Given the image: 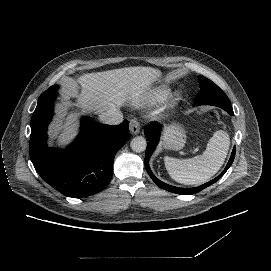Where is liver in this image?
Instances as JSON below:
<instances>
[{
  "label": "liver",
  "mask_w": 271,
  "mask_h": 271,
  "mask_svg": "<svg viewBox=\"0 0 271 271\" xmlns=\"http://www.w3.org/2000/svg\"><path fill=\"white\" fill-rule=\"evenodd\" d=\"M160 76V70L143 66L87 73L77 80L67 78L63 91L66 97L77 98L76 104L83 113L97 111L101 114L109 109L120 108L128 99H140ZM66 114L65 108L60 106L59 119L54 126V135L64 128L59 137L60 144H67L76 135L77 124L70 126L76 120V115L68 116L66 125L62 126L60 118Z\"/></svg>",
  "instance_id": "6515ba94"
}]
</instances>
